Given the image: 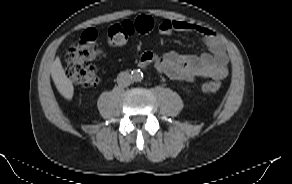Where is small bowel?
Returning a JSON list of instances; mask_svg holds the SVG:
<instances>
[{
	"label": "small bowel",
	"instance_id": "obj_1",
	"mask_svg": "<svg viewBox=\"0 0 292 184\" xmlns=\"http://www.w3.org/2000/svg\"><path fill=\"white\" fill-rule=\"evenodd\" d=\"M155 27L164 35L176 31L197 33L202 37L207 52L200 55L177 52L155 55L146 52L141 57V63L153 62L160 73L173 80L193 81L205 77L221 80L227 75L228 55L213 30L198 24L171 19L155 23Z\"/></svg>",
	"mask_w": 292,
	"mask_h": 184
}]
</instances>
